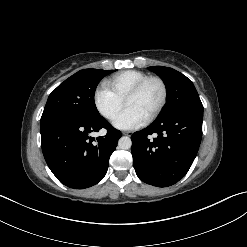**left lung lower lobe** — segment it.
<instances>
[{
	"label": "left lung lower lobe",
	"instance_id": "left-lung-lower-lobe-1",
	"mask_svg": "<svg viewBox=\"0 0 247 247\" xmlns=\"http://www.w3.org/2000/svg\"><path fill=\"white\" fill-rule=\"evenodd\" d=\"M202 121L201 111L176 112L135 132L131 139L137 176L157 187L171 186L182 179L197 155Z\"/></svg>",
	"mask_w": 247,
	"mask_h": 247
}]
</instances>
